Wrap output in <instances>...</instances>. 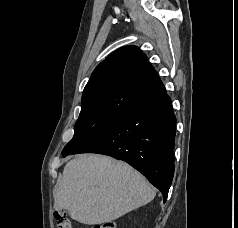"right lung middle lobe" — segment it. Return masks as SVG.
<instances>
[{
  "label": "right lung middle lobe",
  "instance_id": "dd1d6c3e",
  "mask_svg": "<svg viewBox=\"0 0 238 228\" xmlns=\"http://www.w3.org/2000/svg\"><path fill=\"white\" fill-rule=\"evenodd\" d=\"M122 114L118 112H80L75 124L74 136L63 149L62 155L65 156L75 151Z\"/></svg>",
  "mask_w": 238,
  "mask_h": 228
}]
</instances>
